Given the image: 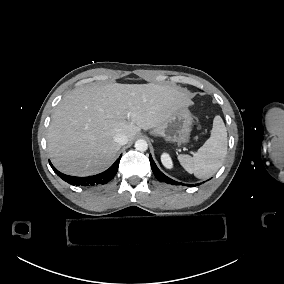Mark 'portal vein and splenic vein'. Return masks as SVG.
Segmentation results:
<instances>
[{"label": "portal vein and splenic vein", "mask_w": 284, "mask_h": 284, "mask_svg": "<svg viewBox=\"0 0 284 284\" xmlns=\"http://www.w3.org/2000/svg\"><path fill=\"white\" fill-rule=\"evenodd\" d=\"M189 154L195 155L196 152L195 151H189Z\"/></svg>", "instance_id": "portal-vein-and-splenic-vein-1"}]
</instances>
